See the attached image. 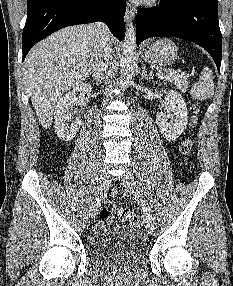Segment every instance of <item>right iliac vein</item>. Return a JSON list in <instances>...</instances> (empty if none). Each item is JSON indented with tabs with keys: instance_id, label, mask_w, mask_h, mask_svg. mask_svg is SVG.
Instances as JSON below:
<instances>
[{
	"instance_id": "1",
	"label": "right iliac vein",
	"mask_w": 233,
	"mask_h": 286,
	"mask_svg": "<svg viewBox=\"0 0 233 286\" xmlns=\"http://www.w3.org/2000/svg\"><path fill=\"white\" fill-rule=\"evenodd\" d=\"M109 184V176L108 174L102 170L98 177V186L95 194V201L92 209V217H95L99 207L101 206V201L105 195L106 189Z\"/></svg>"
}]
</instances>
